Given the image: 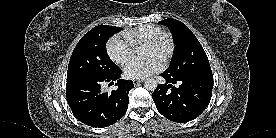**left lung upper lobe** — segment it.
<instances>
[{
  "instance_id": "1",
  "label": "left lung upper lobe",
  "mask_w": 276,
  "mask_h": 138,
  "mask_svg": "<svg viewBox=\"0 0 276 138\" xmlns=\"http://www.w3.org/2000/svg\"><path fill=\"white\" fill-rule=\"evenodd\" d=\"M159 23L170 29L176 43L170 67L165 71L166 73L175 79L213 76L202 45L185 24L171 18Z\"/></svg>"
}]
</instances>
